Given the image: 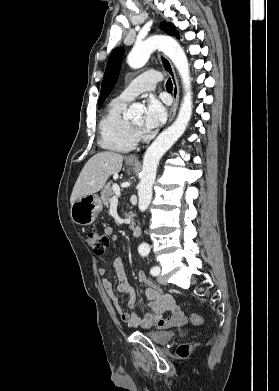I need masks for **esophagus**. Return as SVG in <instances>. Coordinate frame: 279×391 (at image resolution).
<instances>
[{
  "instance_id": "esophagus-1",
  "label": "esophagus",
  "mask_w": 279,
  "mask_h": 391,
  "mask_svg": "<svg viewBox=\"0 0 279 391\" xmlns=\"http://www.w3.org/2000/svg\"><path fill=\"white\" fill-rule=\"evenodd\" d=\"M158 58H159V61L162 65L163 69L169 75V77L172 81V84H173V91H172L173 104L171 106L170 113H169V119H168V123H170L173 121V119L176 115L177 108H178L179 84H178V80L176 77L174 67H173L172 63L170 62V60L163 54H159ZM127 161L137 163V162H139V157L136 155H131L127 158Z\"/></svg>"
}]
</instances>
